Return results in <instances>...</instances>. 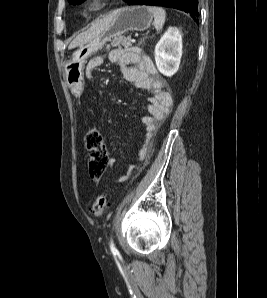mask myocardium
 Wrapping results in <instances>:
<instances>
[{"label":"myocardium","instance_id":"myocardium-1","mask_svg":"<svg viewBox=\"0 0 267 298\" xmlns=\"http://www.w3.org/2000/svg\"><path fill=\"white\" fill-rule=\"evenodd\" d=\"M108 0H86L85 10L89 13L100 11L107 3Z\"/></svg>","mask_w":267,"mask_h":298}]
</instances>
